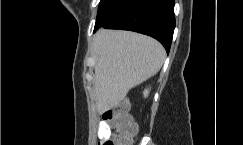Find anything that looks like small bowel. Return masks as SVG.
I'll list each match as a JSON object with an SVG mask.
<instances>
[{"mask_svg":"<svg viewBox=\"0 0 243 145\" xmlns=\"http://www.w3.org/2000/svg\"><path fill=\"white\" fill-rule=\"evenodd\" d=\"M113 133L110 125L106 123L105 121H102L99 123L98 127V137H99V142L98 145H100V142L109 137Z\"/></svg>","mask_w":243,"mask_h":145,"instance_id":"obj_1","label":"small bowel"}]
</instances>
